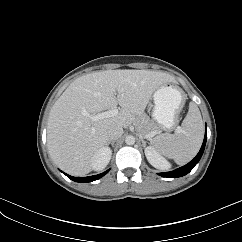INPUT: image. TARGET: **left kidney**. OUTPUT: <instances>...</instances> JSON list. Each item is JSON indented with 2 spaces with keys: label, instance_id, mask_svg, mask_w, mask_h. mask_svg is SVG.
<instances>
[{
  "label": "left kidney",
  "instance_id": "5707ae66",
  "mask_svg": "<svg viewBox=\"0 0 242 242\" xmlns=\"http://www.w3.org/2000/svg\"><path fill=\"white\" fill-rule=\"evenodd\" d=\"M144 151L148 162L156 169L167 170L170 168V163L154 147L149 146Z\"/></svg>",
  "mask_w": 242,
  "mask_h": 242
}]
</instances>
